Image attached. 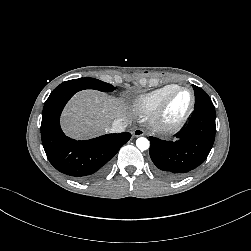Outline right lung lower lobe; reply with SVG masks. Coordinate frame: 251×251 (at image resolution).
<instances>
[{"label": "right lung lower lobe", "instance_id": "1", "mask_svg": "<svg viewBox=\"0 0 251 251\" xmlns=\"http://www.w3.org/2000/svg\"><path fill=\"white\" fill-rule=\"evenodd\" d=\"M76 92L61 90L50 94L43 109L41 138L45 153L57 170L80 180H92L106 173L109 160L131 134H107L84 141L67 137L61 130L59 119L64 106Z\"/></svg>", "mask_w": 251, "mask_h": 251}]
</instances>
